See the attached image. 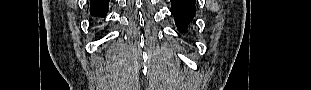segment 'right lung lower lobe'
Masks as SVG:
<instances>
[{"label": "right lung lower lobe", "mask_w": 311, "mask_h": 90, "mask_svg": "<svg viewBox=\"0 0 311 90\" xmlns=\"http://www.w3.org/2000/svg\"><path fill=\"white\" fill-rule=\"evenodd\" d=\"M91 14L93 16L105 17L108 11L109 0H91Z\"/></svg>", "instance_id": "right-lung-lower-lobe-1"}]
</instances>
